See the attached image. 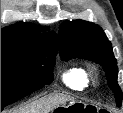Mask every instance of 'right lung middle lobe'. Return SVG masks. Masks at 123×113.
Returning <instances> with one entry per match:
<instances>
[{
    "mask_svg": "<svg viewBox=\"0 0 123 113\" xmlns=\"http://www.w3.org/2000/svg\"><path fill=\"white\" fill-rule=\"evenodd\" d=\"M55 55L46 45L1 46V111L52 82Z\"/></svg>",
    "mask_w": 123,
    "mask_h": 113,
    "instance_id": "dd1d6c3e",
    "label": "right lung middle lobe"
}]
</instances>
